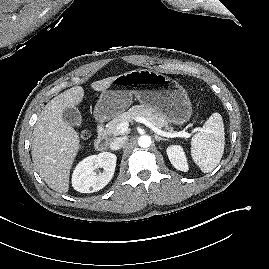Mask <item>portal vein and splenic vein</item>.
<instances>
[{"label":"portal vein and splenic vein","mask_w":269,"mask_h":269,"mask_svg":"<svg viewBox=\"0 0 269 269\" xmlns=\"http://www.w3.org/2000/svg\"><path fill=\"white\" fill-rule=\"evenodd\" d=\"M135 120L137 122L143 123L145 124L147 127H149L150 129H152L155 133L161 135V136H165V137H183V138H189L191 136V133L185 132V131H179V132H174V133H169V132H165L163 130H160L158 127H156L151 121H149L148 119L144 118V117H136ZM128 126L129 123L128 122H122L117 126V131L120 134H124L125 132L128 131ZM197 131H201V128H195L193 130L194 132Z\"/></svg>","instance_id":"obj_1"}]
</instances>
